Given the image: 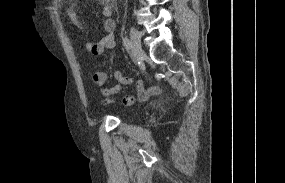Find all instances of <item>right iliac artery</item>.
<instances>
[{
  "instance_id": "1",
  "label": "right iliac artery",
  "mask_w": 285,
  "mask_h": 183,
  "mask_svg": "<svg viewBox=\"0 0 285 183\" xmlns=\"http://www.w3.org/2000/svg\"><path fill=\"white\" fill-rule=\"evenodd\" d=\"M123 45H124V47L126 48V49H130L131 48V41L128 39V38H123Z\"/></svg>"
}]
</instances>
